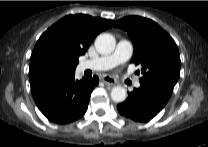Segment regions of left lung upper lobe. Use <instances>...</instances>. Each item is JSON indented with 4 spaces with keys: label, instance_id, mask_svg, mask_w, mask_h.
<instances>
[{
    "label": "left lung upper lobe",
    "instance_id": "obj_1",
    "mask_svg": "<svg viewBox=\"0 0 208 147\" xmlns=\"http://www.w3.org/2000/svg\"><path fill=\"white\" fill-rule=\"evenodd\" d=\"M115 26L126 30L132 39L131 62L141 65L140 83H155L173 91L180 75L181 60L170 35L154 21L139 16L120 19Z\"/></svg>",
    "mask_w": 208,
    "mask_h": 147
}]
</instances>
